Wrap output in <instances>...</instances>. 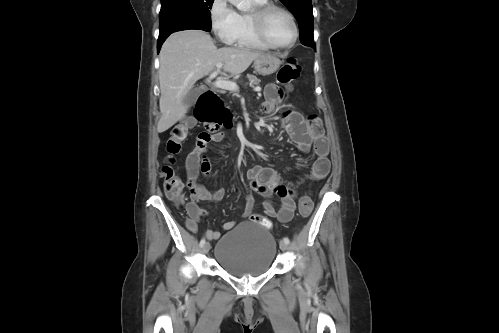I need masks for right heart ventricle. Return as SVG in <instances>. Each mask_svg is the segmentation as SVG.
Masks as SVG:
<instances>
[{
    "mask_svg": "<svg viewBox=\"0 0 499 333\" xmlns=\"http://www.w3.org/2000/svg\"><path fill=\"white\" fill-rule=\"evenodd\" d=\"M256 6L264 5L268 0H254ZM238 28L236 31L235 38L232 42L233 45L253 50H268V47L263 43L254 31L252 26L250 16L248 13H238Z\"/></svg>",
    "mask_w": 499,
    "mask_h": 333,
    "instance_id": "right-heart-ventricle-1",
    "label": "right heart ventricle"
}]
</instances>
